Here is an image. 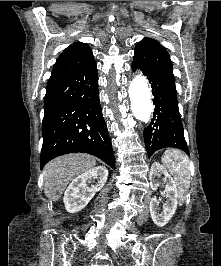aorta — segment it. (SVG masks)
Masks as SVG:
<instances>
[{"label":"aorta","instance_id":"aorta-1","mask_svg":"<svg viewBox=\"0 0 221 266\" xmlns=\"http://www.w3.org/2000/svg\"><path fill=\"white\" fill-rule=\"evenodd\" d=\"M129 97L133 115L140 121L150 120L153 107L148 83L142 74L136 75L129 85Z\"/></svg>","mask_w":221,"mask_h":266}]
</instances>
